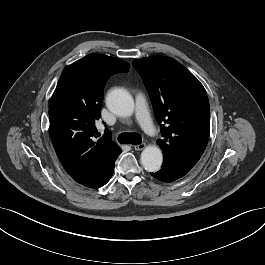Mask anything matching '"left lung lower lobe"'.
I'll list each match as a JSON object with an SVG mask.
<instances>
[{"mask_svg":"<svg viewBox=\"0 0 265 265\" xmlns=\"http://www.w3.org/2000/svg\"><path fill=\"white\" fill-rule=\"evenodd\" d=\"M151 175L158 179L159 181L162 182H173L175 181V179L171 178L170 176H168L166 173L162 172V171H158L156 173H151Z\"/></svg>","mask_w":265,"mask_h":265,"instance_id":"obj_1","label":"left lung lower lobe"}]
</instances>
